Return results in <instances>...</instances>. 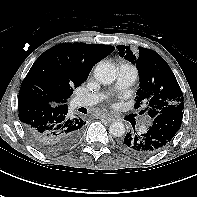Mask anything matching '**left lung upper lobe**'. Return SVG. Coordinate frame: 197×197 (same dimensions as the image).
I'll return each mask as SVG.
<instances>
[{"label":"left lung upper lobe","mask_w":197,"mask_h":197,"mask_svg":"<svg viewBox=\"0 0 197 197\" xmlns=\"http://www.w3.org/2000/svg\"><path fill=\"white\" fill-rule=\"evenodd\" d=\"M119 55L135 63L139 73V89L136 92L135 107L144 102L146 112L153 120L162 113L182 111L183 94L167 62L156 52L139 47L132 52L130 46L118 45Z\"/></svg>","instance_id":"left-lung-upper-lobe-1"}]
</instances>
